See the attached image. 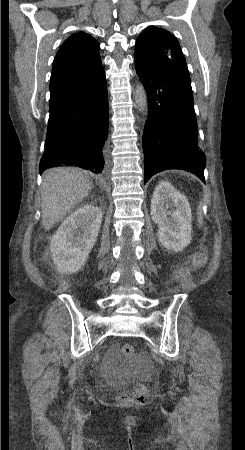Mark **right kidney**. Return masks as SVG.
Listing matches in <instances>:
<instances>
[{
    "mask_svg": "<svg viewBox=\"0 0 245 450\" xmlns=\"http://www.w3.org/2000/svg\"><path fill=\"white\" fill-rule=\"evenodd\" d=\"M102 210L84 205L69 215L52 237L50 250L60 273H75L84 266L95 245Z\"/></svg>",
    "mask_w": 245,
    "mask_h": 450,
    "instance_id": "obj_1",
    "label": "right kidney"
}]
</instances>
